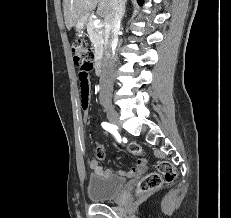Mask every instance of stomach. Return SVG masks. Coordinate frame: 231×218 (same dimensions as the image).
Here are the masks:
<instances>
[{"instance_id": "obj_1", "label": "stomach", "mask_w": 231, "mask_h": 218, "mask_svg": "<svg viewBox=\"0 0 231 218\" xmlns=\"http://www.w3.org/2000/svg\"><path fill=\"white\" fill-rule=\"evenodd\" d=\"M86 20H87V17H83V18L78 19V20L74 23L73 27L75 28V30H76L77 32L80 33V32H82V31L84 30Z\"/></svg>"}]
</instances>
